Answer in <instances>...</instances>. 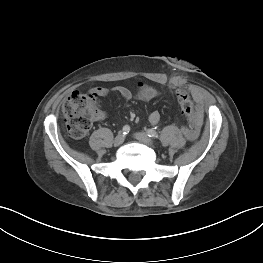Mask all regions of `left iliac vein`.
Segmentation results:
<instances>
[{
    "mask_svg": "<svg viewBox=\"0 0 263 263\" xmlns=\"http://www.w3.org/2000/svg\"><path fill=\"white\" fill-rule=\"evenodd\" d=\"M134 137L141 143L146 144L148 146H153V140L148 137L147 134L143 132H138L134 134Z\"/></svg>",
    "mask_w": 263,
    "mask_h": 263,
    "instance_id": "1",
    "label": "left iliac vein"
}]
</instances>
